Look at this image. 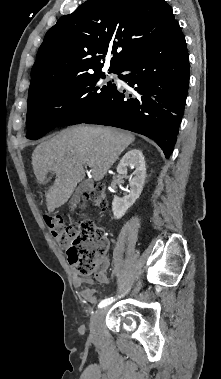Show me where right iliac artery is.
Segmentation results:
<instances>
[{
    "label": "right iliac artery",
    "mask_w": 221,
    "mask_h": 379,
    "mask_svg": "<svg viewBox=\"0 0 221 379\" xmlns=\"http://www.w3.org/2000/svg\"><path fill=\"white\" fill-rule=\"evenodd\" d=\"M113 301H114L113 297L106 298V299L102 300V301L99 303L98 307H99V308H104V307H106L107 305L111 304Z\"/></svg>",
    "instance_id": "obj_1"
}]
</instances>
